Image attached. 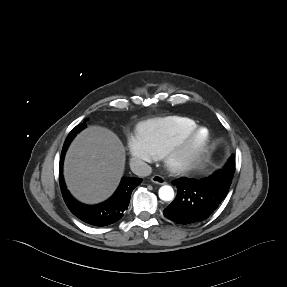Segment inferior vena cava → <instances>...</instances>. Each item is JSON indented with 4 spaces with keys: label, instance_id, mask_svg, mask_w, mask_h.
<instances>
[{
    "label": "inferior vena cava",
    "instance_id": "602c4592",
    "mask_svg": "<svg viewBox=\"0 0 287 287\" xmlns=\"http://www.w3.org/2000/svg\"><path fill=\"white\" fill-rule=\"evenodd\" d=\"M130 168L134 174L140 177L149 176L152 172V168L147 163L136 158L130 160Z\"/></svg>",
    "mask_w": 287,
    "mask_h": 287
}]
</instances>
